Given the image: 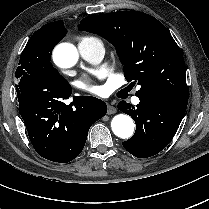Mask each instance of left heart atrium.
Masks as SVG:
<instances>
[{"mask_svg":"<svg viewBox=\"0 0 209 209\" xmlns=\"http://www.w3.org/2000/svg\"><path fill=\"white\" fill-rule=\"evenodd\" d=\"M78 84H79V87L84 91H87L97 96L101 95V87L95 84L94 82H92L88 78L81 80Z\"/></svg>","mask_w":209,"mask_h":209,"instance_id":"left-heart-atrium-1","label":"left heart atrium"}]
</instances>
